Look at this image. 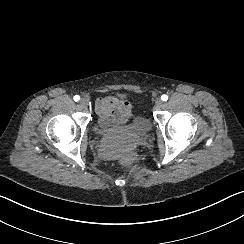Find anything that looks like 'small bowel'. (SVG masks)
Segmentation results:
<instances>
[{
	"instance_id": "obj_1",
	"label": "small bowel",
	"mask_w": 244,
	"mask_h": 244,
	"mask_svg": "<svg viewBox=\"0 0 244 244\" xmlns=\"http://www.w3.org/2000/svg\"><path fill=\"white\" fill-rule=\"evenodd\" d=\"M96 113L105 126L123 124L131 118L130 104L114 96H106L96 101Z\"/></svg>"
}]
</instances>
